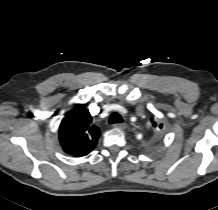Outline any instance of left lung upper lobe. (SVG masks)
Listing matches in <instances>:
<instances>
[{
    "mask_svg": "<svg viewBox=\"0 0 218 210\" xmlns=\"http://www.w3.org/2000/svg\"><path fill=\"white\" fill-rule=\"evenodd\" d=\"M153 126L156 127L157 124H156L155 122H153ZM158 127L161 129V128H162V125L160 124Z\"/></svg>",
    "mask_w": 218,
    "mask_h": 210,
    "instance_id": "1",
    "label": "left lung upper lobe"
}]
</instances>
